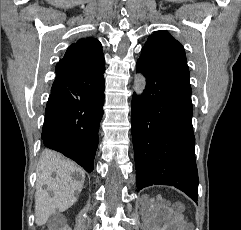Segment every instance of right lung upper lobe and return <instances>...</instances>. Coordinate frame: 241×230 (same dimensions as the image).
<instances>
[{
  "mask_svg": "<svg viewBox=\"0 0 241 230\" xmlns=\"http://www.w3.org/2000/svg\"><path fill=\"white\" fill-rule=\"evenodd\" d=\"M59 62L69 64L73 69L92 72L105 70V60L101 43L92 37L82 38L71 44ZM58 62V63H59Z\"/></svg>",
  "mask_w": 241,
  "mask_h": 230,
  "instance_id": "1",
  "label": "right lung upper lobe"
}]
</instances>
